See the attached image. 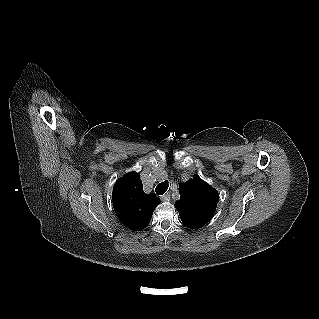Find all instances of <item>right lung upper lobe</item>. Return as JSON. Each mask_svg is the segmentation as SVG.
I'll return each mask as SVG.
<instances>
[{
	"label": "right lung upper lobe",
	"mask_w": 319,
	"mask_h": 319,
	"mask_svg": "<svg viewBox=\"0 0 319 319\" xmlns=\"http://www.w3.org/2000/svg\"><path fill=\"white\" fill-rule=\"evenodd\" d=\"M112 199L118 218L133 231L141 230L150 223L153 211L160 203L154 194L144 193L136 172H130L116 181Z\"/></svg>",
	"instance_id": "cb5924a9"
}]
</instances>
